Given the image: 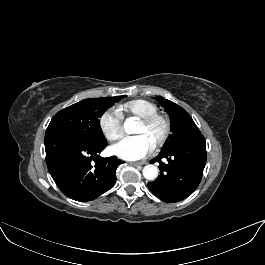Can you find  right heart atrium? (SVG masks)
Returning a JSON list of instances; mask_svg holds the SVG:
<instances>
[{
	"label": "right heart atrium",
	"instance_id": "obj_1",
	"mask_svg": "<svg viewBox=\"0 0 265 265\" xmlns=\"http://www.w3.org/2000/svg\"><path fill=\"white\" fill-rule=\"evenodd\" d=\"M122 122V115L115 109L105 110L98 119L99 128L109 141H115L121 136Z\"/></svg>",
	"mask_w": 265,
	"mask_h": 265
}]
</instances>
